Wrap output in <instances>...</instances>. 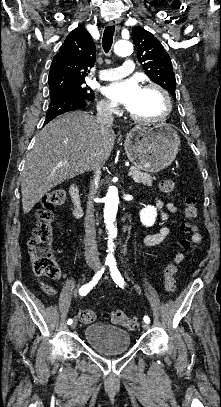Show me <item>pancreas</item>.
<instances>
[{"label": "pancreas", "instance_id": "cf45deb5", "mask_svg": "<svg viewBox=\"0 0 221 407\" xmlns=\"http://www.w3.org/2000/svg\"><path fill=\"white\" fill-rule=\"evenodd\" d=\"M130 171L133 172L132 178L135 180V182L142 183L147 186H152L154 179L152 176L147 173L141 172L140 169H138L137 167H131Z\"/></svg>", "mask_w": 221, "mask_h": 407}]
</instances>
